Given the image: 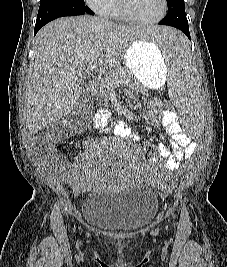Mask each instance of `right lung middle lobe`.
Returning a JSON list of instances; mask_svg holds the SVG:
<instances>
[{"label": "right lung middle lobe", "mask_w": 227, "mask_h": 267, "mask_svg": "<svg viewBox=\"0 0 227 267\" xmlns=\"http://www.w3.org/2000/svg\"><path fill=\"white\" fill-rule=\"evenodd\" d=\"M40 6H86L84 0H40Z\"/></svg>", "instance_id": "right-lung-middle-lobe-1"}]
</instances>
